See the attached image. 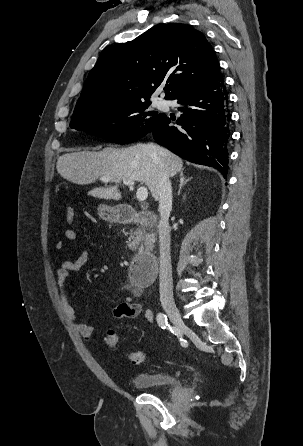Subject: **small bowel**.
Returning a JSON list of instances; mask_svg holds the SVG:
<instances>
[{
	"mask_svg": "<svg viewBox=\"0 0 303 446\" xmlns=\"http://www.w3.org/2000/svg\"><path fill=\"white\" fill-rule=\"evenodd\" d=\"M64 236L68 241H75L77 238V234L73 229H67ZM55 247L57 250H63L65 248V242L60 240L56 243ZM90 257V252L84 250L74 260H62L57 270V284L63 312L85 340L92 339L94 328L89 324L78 321L76 312L70 304L66 293L65 284L70 272L80 270L90 260ZM129 290L132 296H125L124 300L113 308V316L117 319H133L142 316L146 321L152 323L154 321L153 312L133 300V296L138 297L141 294V289L130 287Z\"/></svg>",
	"mask_w": 303,
	"mask_h": 446,
	"instance_id": "small-bowel-1",
	"label": "small bowel"
}]
</instances>
